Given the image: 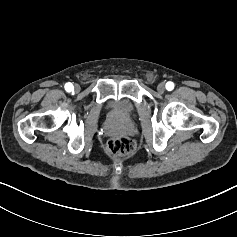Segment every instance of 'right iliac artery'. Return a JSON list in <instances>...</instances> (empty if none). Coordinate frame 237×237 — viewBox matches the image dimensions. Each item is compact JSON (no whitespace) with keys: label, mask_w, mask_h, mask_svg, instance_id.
Segmentation results:
<instances>
[{"label":"right iliac artery","mask_w":237,"mask_h":237,"mask_svg":"<svg viewBox=\"0 0 237 237\" xmlns=\"http://www.w3.org/2000/svg\"><path fill=\"white\" fill-rule=\"evenodd\" d=\"M73 89H74V87H73L72 83L68 82L65 84V90L67 92H71V91H73Z\"/></svg>","instance_id":"right-iliac-artery-1"}]
</instances>
